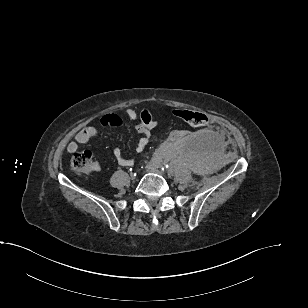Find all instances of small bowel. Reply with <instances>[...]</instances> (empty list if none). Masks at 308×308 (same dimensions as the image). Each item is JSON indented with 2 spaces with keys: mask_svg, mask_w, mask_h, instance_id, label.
Returning a JSON list of instances; mask_svg holds the SVG:
<instances>
[{
  "mask_svg": "<svg viewBox=\"0 0 308 308\" xmlns=\"http://www.w3.org/2000/svg\"><path fill=\"white\" fill-rule=\"evenodd\" d=\"M125 117L135 124V128L140 135L137 142L136 151L141 153L147 147L151 139V132L157 127L158 123L153 119L152 114L148 110L140 112L134 109H126L124 111ZM125 123L124 119L115 114H105L100 119V124L96 126H88L80 130L74 140L67 146L68 152H75L79 145L88 143L92 138L101 134L104 127H119ZM114 156L121 166H132L134 161L124 157L120 148L114 149ZM97 168V165H94Z\"/></svg>",
  "mask_w": 308,
  "mask_h": 308,
  "instance_id": "c3829d8e",
  "label": "small bowel"
}]
</instances>
